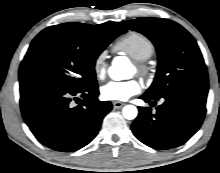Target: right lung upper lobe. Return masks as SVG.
Wrapping results in <instances>:
<instances>
[{
	"instance_id": "cb5924a9",
	"label": "right lung upper lobe",
	"mask_w": 220,
	"mask_h": 173,
	"mask_svg": "<svg viewBox=\"0 0 220 173\" xmlns=\"http://www.w3.org/2000/svg\"><path fill=\"white\" fill-rule=\"evenodd\" d=\"M74 24H81V23H65L51 27H64ZM81 25L91 30L95 35H98L99 37H102L104 35L119 36L127 31L121 24L115 22H107L100 25H87V24H81Z\"/></svg>"
}]
</instances>
